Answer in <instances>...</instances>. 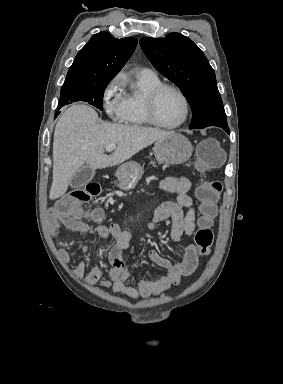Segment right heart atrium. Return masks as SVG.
Listing matches in <instances>:
<instances>
[{
  "mask_svg": "<svg viewBox=\"0 0 283 384\" xmlns=\"http://www.w3.org/2000/svg\"><path fill=\"white\" fill-rule=\"evenodd\" d=\"M124 80L121 73L110 78L102 88V108L114 123H122L124 115Z\"/></svg>",
  "mask_w": 283,
  "mask_h": 384,
  "instance_id": "d8ad5b80",
  "label": "right heart atrium"
}]
</instances>
